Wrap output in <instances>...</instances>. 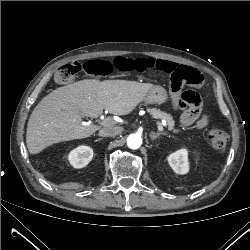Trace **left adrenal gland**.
Masks as SVG:
<instances>
[{
  "mask_svg": "<svg viewBox=\"0 0 250 250\" xmlns=\"http://www.w3.org/2000/svg\"><path fill=\"white\" fill-rule=\"evenodd\" d=\"M160 135H166V133H165V132H161V133H154V132H151V133H150V138H151L152 140H155V139L159 138Z\"/></svg>",
  "mask_w": 250,
  "mask_h": 250,
  "instance_id": "left-adrenal-gland-1",
  "label": "left adrenal gland"
}]
</instances>
